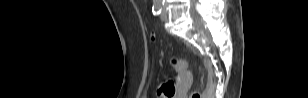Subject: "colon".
I'll list each match as a JSON object with an SVG mask.
<instances>
[{
    "label": "colon",
    "mask_w": 308,
    "mask_h": 98,
    "mask_svg": "<svg viewBox=\"0 0 308 98\" xmlns=\"http://www.w3.org/2000/svg\"><path fill=\"white\" fill-rule=\"evenodd\" d=\"M171 67L174 71L178 73L185 72L187 70V62L183 59L172 58L170 60ZM175 94V86L172 81H166L160 87L158 95L163 98H173ZM190 98H203V94L199 91H194L191 93Z\"/></svg>",
    "instance_id": "obj_1"
}]
</instances>
